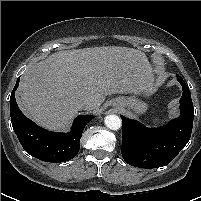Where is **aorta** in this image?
I'll return each mask as SVG.
<instances>
[{
	"label": "aorta",
	"mask_w": 201,
	"mask_h": 201,
	"mask_svg": "<svg viewBox=\"0 0 201 201\" xmlns=\"http://www.w3.org/2000/svg\"><path fill=\"white\" fill-rule=\"evenodd\" d=\"M104 123L111 130H118L122 125L121 119L116 115H107L104 119Z\"/></svg>",
	"instance_id": "obj_1"
}]
</instances>
